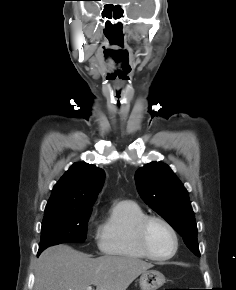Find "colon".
Listing matches in <instances>:
<instances>
[{
    "label": "colon",
    "instance_id": "5ec220e1",
    "mask_svg": "<svg viewBox=\"0 0 236 290\" xmlns=\"http://www.w3.org/2000/svg\"><path fill=\"white\" fill-rule=\"evenodd\" d=\"M164 290H177V289H169V288H166V289H164Z\"/></svg>",
    "mask_w": 236,
    "mask_h": 290
}]
</instances>
